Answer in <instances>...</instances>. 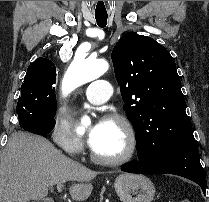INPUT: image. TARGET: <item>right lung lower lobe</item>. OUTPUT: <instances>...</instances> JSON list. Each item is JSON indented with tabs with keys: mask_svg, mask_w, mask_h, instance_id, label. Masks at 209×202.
Returning a JSON list of instances; mask_svg holds the SVG:
<instances>
[{
	"mask_svg": "<svg viewBox=\"0 0 209 202\" xmlns=\"http://www.w3.org/2000/svg\"><path fill=\"white\" fill-rule=\"evenodd\" d=\"M19 125L26 131L45 135L52 131L55 120H42L35 117H24L19 119Z\"/></svg>",
	"mask_w": 209,
	"mask_h": 202,
	"instance_id": "obj_1",
	"label": "right lung lower lobe"
}]
</instances>
